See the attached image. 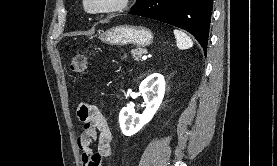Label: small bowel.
I'll use <instances>...</instances> for the list:
<instances>
[{"label":"small bowel","mask_w":277,"mask_h":166,"mask_svg":"<svg viewBox=\"0 0 277 166\" xmlns=\"http://www.w3.org/2000/svg\"><path fill=\"white\" fill-rule=\"evenodd\" d=\"M78 119L83 129L78 137L83 166H101L102 160L111 155L112 133L107 120L94 105L84 104L78 108ZM97 144L93 151L92 145Z\"/></svg>","instance_id":"obj_1"}]
</instances>
